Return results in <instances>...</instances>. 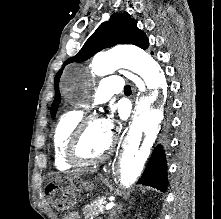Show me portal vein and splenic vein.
<instances>
[{
	"mask_svg": "<svg viewBox=\"0 0 221 219\" xmlns=\"http://www.w3.org/2000/svg\"><path fill=\"white\" fill-rule=\"evenodd\" d=\"M112 206H113V204H112V205L108 204V205L105 206V207H104V206L101 207L100 210H104V209H105V210H110Z\"/></svg>",
	"mask_w": 221,
	"mask_h": 219,
	"instance_id": "obj_1",
	"label": "portal vein and splenic vein"
}]
</instances>
